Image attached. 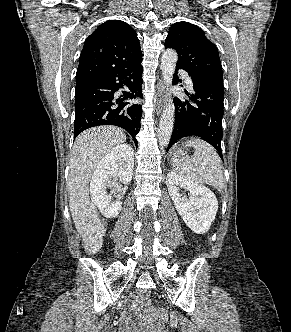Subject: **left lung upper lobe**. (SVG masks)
I'll return each instance as SVG.
<instances>
[{
	"label": "left lung upper lobe",
	"mask_w": 291,
	"mask_h": 332,
	"mask_svg": "<svg viewBox=\"0 0 291 332\" xmlns=\"http://www.w3.org/2000/svg\"><path fill=\"white\" fill-rule=\"evenodd\" d=\"M165 48L177 51V66L189 75L223 78L218 49L198 26L185 21L173 24L165 40Z\"/></svg>",
	"instance_id": "left-lung-upper-lobe-1"
}]
</instances>
